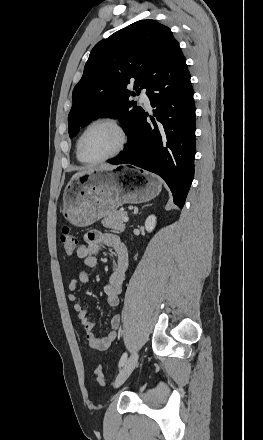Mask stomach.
<instances>
[{"label": "stomach", "instance_id": "0dacf381", "mask_svg": "<svg viewBox=\"0 0 263 440\" xmlns=\"http://www.w3.org/2000/svg\"><path fill=\"white\" fill-rule=\"evenodd\" d=\"M161 191V180L145 171L92 170L68 182L62 200L63 217L86 227L111 215L123 204L150 201Z\"/></svg>", "mask_w": 263, "mask_h": 440}]
</instances>
